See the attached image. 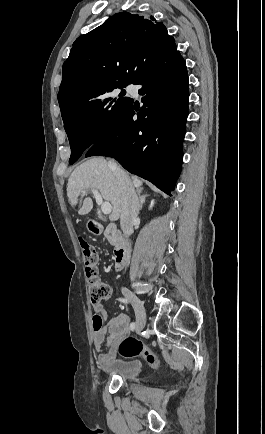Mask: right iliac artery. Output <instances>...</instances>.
Wrapping results in <instances>:
<instances>
[{
	"mask_svg": "<svg viewBox=\"0 0 265 434\" xmlns=\"http://www.w3.org/2000/svg\"><path fill=\"white\" fill-rule=\"evenodd\" d=\"M118 300H119L120 302H123V303H128L127 299H124V298H119ZM130 329H131V330H134V329H135V323H134V322H132V323L130 324Z\"/></svg>",
	"mask_w": 265,
	"mask_h": 434,
	"instance_id": "1",
	"label": "right iliac artery"
}]
</instances>
